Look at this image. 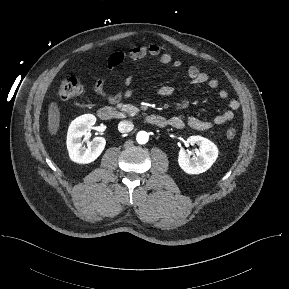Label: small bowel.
I'll use <instances>...</instances> for the list:
<instances>
[{"instance_id":"c3829d8e","label":"small bowel","mask_w":289,"mask_h":289,"mask_svg":"<svg viewBox=\"0 0 289 289\" xmlns=\"http://www.w3.org/2000/svg\"><path fill=\"white\" fill-rule=\"evenodd\" d=\"M145 58H158L159 62L163 65H171L175 68H180L182 62L180 60L173 59L169 53L162 51V48L157 44H149L143 46L130 47L123 51L112 53L107 60V68L109 71L115 69L125 61H137ZM185 73L190 80L191 85H207L211 89H218L219 82L217 79L210 78V76L201 71L195 65H188L185 68ZM107 79V75L96 80L94 88L96 92L104 96V85ZM158 95L161 97H169L175 93V88L169 85L161 86L158 91ZM131 90L127 89L123 93L119 92L109 99L113 102L118 101L122 96L130 97ZM217 95L220 99H227L228 92L225 89H219ZM240 107L239 102L236 99H231L228 103V108L221 114L215 116L212 120H204L197 117L190 116L184 118L181 116H173L168 119V124L176 129H183L190 127L195 130L204 131L212 128L215 125H223L231 121L234 118L235 111Z\"/></svg>"}]
</instances>
